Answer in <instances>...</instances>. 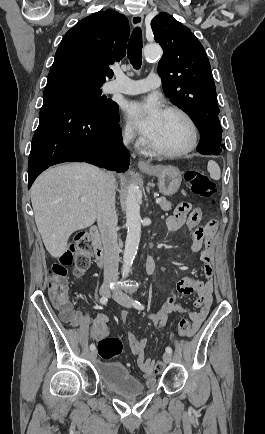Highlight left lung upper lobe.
<instances>
[{
	"label": "left lung upper lobe",
	"mask_w": 265,
	"mask_h": 434,
	"mask_svg": "<svg viewBox=\"0 0 265 434\" xmlns=\"http://www.w3.org/2000/svg\"><path fill=\"white\" fill-rule=\"evenodd\" d=\"M151 27L155 41L163 48L157 70L164 93L192 118L202 139L223 147L215 83L202 44L166 12L155 16Z\"/></svg>",
	"instance_id": "1"
}]
</instances>
